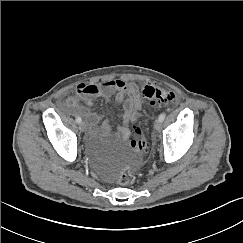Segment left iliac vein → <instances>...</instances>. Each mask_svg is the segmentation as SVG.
Masks as SVG:
<instances>
[{
  "label": "left iliac vein",
  "mask_w": 243,
  "mask_h": 243,
  "mask_svg": "<svg viewBox=\"0 0 243 243\" xmlns=\"http://www.w3.org/2000/svg\"><path fill=\"white\" fill-rule=\"evenodd\" d=\"M154 128L157 130V131H160L161 129V121L159 119H157L154 123Z\"/></svg>",
  "instance_id": "left-iliac-vein-1"
}]
</instances>
